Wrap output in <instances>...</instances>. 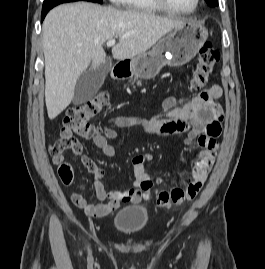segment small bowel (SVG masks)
<instances>
[{"instance_id":"obj_1","label":"small bowel","mask_w":265,"mask_h":269,"mask_svg":"<svg viewBox=\"0 0 265 269\" xmlns=\"http://www.w3.org/2000/svg\"><path fill=\"white\" fill-rule=\"evenodd\" d=\"M222 94L218 85L203 90L189 101L166 98L162 104V111L149 121H130L122 117H113L107 121V126L102 133L91 136V142L110 158L115 156V149L108 139L118 136L112 127L127 128L134 125L142 126L150 135H175L185 133L186 142L191 145L196 142L200 151L196 156L193 169L192 184L200 190L206 181L215 156L218 151L217 137L208 134L209 126L214 122H221L223 112L218 103L215 102ZM72 151L80 156L83 165L94 180V188L99 203H90L80 193H73L71 200L75 206L83 209L93 217H103L119 208L120 204H138L147 197V190L152 185V179L146 171V163L151 160V154L136 155L132 158L135 179L133 187L129 190H109L105 187L102 179L106 176V170L98 167L89 157L82 155V147L76 140Z\"/></svg>"}]
</instances>
